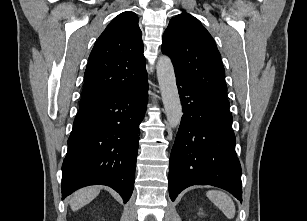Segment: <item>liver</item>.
Returning <instances> with one entry per match:
<instances>
[{"label":"liver","instance_id":"1","mask_svg":"<svg viewBox=\"0 0 307 221\" xmlns=\"http://www.w3.org/2000/svg\"><path fill=\"white\" fill-rule=\"evenodd\" d=\"M100 193V188L97 186L83 188L74 193L70 200L72 211H77L95 199Z\"/></svg>","mask_w":307,"mask_h":221}]
</instances>
